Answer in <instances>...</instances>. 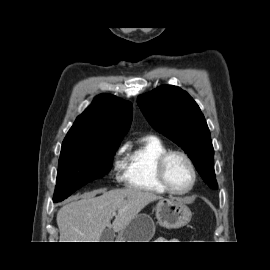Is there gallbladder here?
<instances>
[{"label":"gallbladder","instance_id":"1","mask_svg":"<svg viewBox=\"0 0 270 270\" xmlns=\"http://www.w3.org/2000/svg\"><path fill=\"white\" fill-rule=\"evenodd\" d=\"M114 239V232L111 229H105L100 237L101 242H111Z\"/></svg>","mask_w":270,"mask_h":270}]
</instances>
